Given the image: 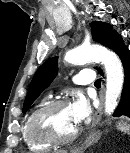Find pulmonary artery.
Masks as SVG:
<instances>
[{
  "mask_svg": "<svg viewBox=\"0 0 130 153\" xmlns=\"http://www.w3.org/2000/svg\"><path fill=\"white\" fill-rule=\"evenodd\" d=\"M94 79L95 75L92 70H83L74 76V82L78 85L90 84Z\"/></svg>",
  "mask_w": 130,
  "mask_h": 153,
  "instance_id": "e3ab8cb5",
  "label": "pulmonary artery"
}]
</instances>
